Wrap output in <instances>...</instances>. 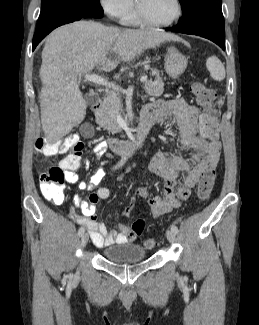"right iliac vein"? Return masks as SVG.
<instances>
[{"label": "right iliac vein", "instance_id": "right-iliac-vein-1", "mask_svg": "<svg viewBox=\"0 0 259 325\" xmlns=\"http://www.w3.org/2000/svg\"><path fill=\"white\" fill-rule=\"evenodd\" d=\"M88 240H89V236L87 233H84L82 236H81V246L82 248H84L87 243H88Z\"/></svg>", "mask_w": 259, "mask_h": 325}]
</instances>
